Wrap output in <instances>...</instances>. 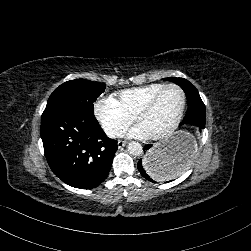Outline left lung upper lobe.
<instances>
[{"instance_id": "left-lung-upper-lobe-1", "label": "left lung upper lobe", "mask_w": 251, "mask_h": 251, "mask_svg": "<svg viewBox=\"0 0 251 251\" xmlns=\"http://www.w3.org/2000/svg\"><path fill=\"white\" fill-rule=\"evenodd\" d=\"M165 80L178 84L184 90L187 101L203 103L197 89L188 80L174 77L165 78Z\"/></svg>"}]
</instances>
